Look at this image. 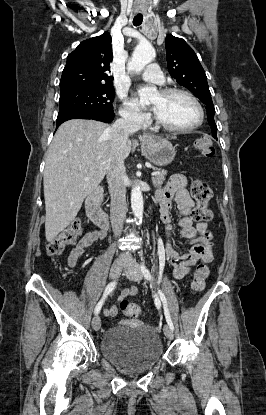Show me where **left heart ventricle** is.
Here are the masks:
<instances>
[{"instance_id": "obj_1", "label": "left heart ventricle", "mask_w": 266, "mask_h": 415, "mask_svg": "<svg viewBox=\"0 0 266 415\" xmlns=\"http://www.w3.org/2000/svg\"><path fill=\"white\" fill-rule=\"evenodd\" d=\"M151 104L160 119L171 126L188 127L195 124L199 117L194 103L181 94L163 96L158 93Z\"/></svg>"}]
</instances>
